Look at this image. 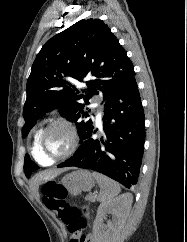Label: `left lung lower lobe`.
I'll return each mask as SVG.
<instances>
[{
	"instance_id": "left-lung-lower-lobe-1",
	"label": "left lung lower lobe",
	"mask_w": 187,
	"mask_h": 242,
	"mask_svg": "<svg viewBox=\"0 0 187 242\" xmlns=\"http://www.w3.org/2000/svg\"><path fill=\"white\" fill-rule=\"evenodd\" d=\"M102 136L92 127L74 155L58 167L107 175L127 188L137 184L145 142V117L135 78L105 102Z\"/></svg>"
}]
</instances>
